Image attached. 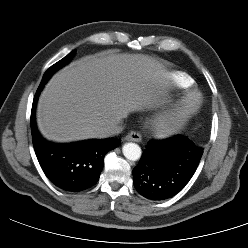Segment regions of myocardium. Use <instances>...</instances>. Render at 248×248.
<instances>
[{"label": "myocardium", "instance_id": "myocardium-1", "mask_svg": "<svg viewBox=\"0 0 248 248\" xmlns=\"http://www.w3.org/2000/svg\"><path fill=\"white\" fill-rule=\"evenodd\" d=\"M202 104L197 92H190L169 111L162 114L155 122V128L162 135H171L177 132L183 124L195 115Z\"/></svg>", "mask_w": 248, "mask_h": 248}]
</instances>
